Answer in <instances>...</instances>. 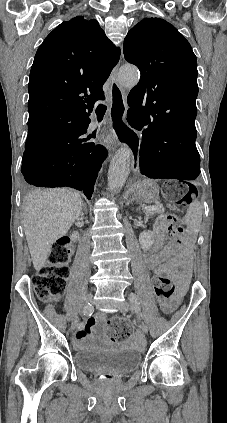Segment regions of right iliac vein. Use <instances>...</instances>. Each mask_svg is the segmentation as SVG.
Masks as SVG:
<instances>
[{
	"mask_svg": "<svg viewBox=\"0 0 227 423\" xmlns=\"http://www.w3.org/2000/svg\"><path fill=\"white\" fill-rule=\"evenodd\" d=\"M92 298H93V295H87V297L85 298V304H87V303H89V302H91L92 301ZM78 320H79V317H78V315H76L75 317H74V319H73V321H72V327L75 329L76 328V326H77V323H78Z\"/></svg>",
	"mask_w": 227,
	"mask_h": 423,
	"instance_id": "63e3f726",
	"label": "right iliac vein"
}]
</instances>
